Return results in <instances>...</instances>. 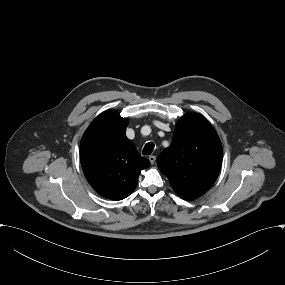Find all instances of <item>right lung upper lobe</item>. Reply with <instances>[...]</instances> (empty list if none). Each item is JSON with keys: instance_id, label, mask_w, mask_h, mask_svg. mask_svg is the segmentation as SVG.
<instances>
[{"instance_id": "right-lung-upper-lobe-1", "label": "right lung upper lobe", "mask_w": 285, "mask_h": 285, "mask_svg": "<svg viewBox=\"0 0 285 285\" xmlns=\"http://www.w3.org/2000/svg\"><path fill=\"white\" fill-rule=\"evenodd\" d=\"M127 125L128 119L115 110L105 111L81 139L80 159L87 181L100 195L112 200L129 196L141 170L150 166L126 137Z\"/></svg>"}]
</instances>
